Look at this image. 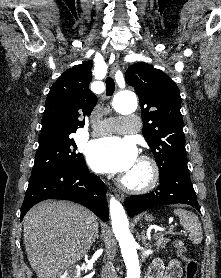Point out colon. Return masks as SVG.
I'll return each mask as SVG.
<instances>
[{
  "mask_svg": "<svg viewBox=\"0 0 221 278\" xmlns=\"http://www.w3.org/2000/svg\"><path fill=\"white\" fill-rule=\"evenodd\" d=\"M174 249L178 256H180L185 262V277L184 278H196L198 272V263L192 258L186 257V247L183 242H174Z\"/></svg>",
  "mask_w": 221,
  "mask_h": 278,
  "instance_id": "5ec220e1",
  "label": "colon"
}]
</instances>
